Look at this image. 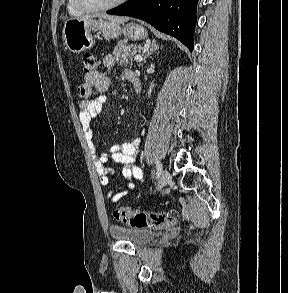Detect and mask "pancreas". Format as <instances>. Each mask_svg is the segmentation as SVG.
I'll use <instances>...</instances> for the list:
<instances>
[{
    "label": "pancreas",
    "mask_w": 288,
    "mask_h": 293,
    "mask_svg": "<svg viewBox=\"0 0 288 293\" xmlns=\"http://www.w3.org/2000/svg\"><path fill=\"white\" fill-rule=\"evenodd\" d=\"M140 48L135 44L127 45L125 41H119L114 48L113 55L117 62L124 66L131 67L133 65V58L139 55Z\"/></svg>",
    "instance_id": "pancreas-1"
}]
</instances>
